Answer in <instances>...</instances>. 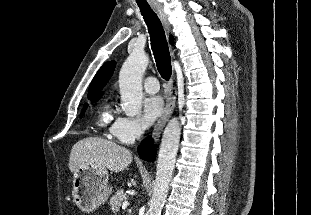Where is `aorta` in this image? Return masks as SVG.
<instances>
[{
	"label": "aorta",
	"mask_w": 311,
	"mask_h": 215,
	"mask_svg": "<svg viewBox=\"0 0 311 215\" xmlns=\"http://www.w3.org/2000/svg\"><path fill=\"white\" fill-rule=\"evenodd\" d=\"M149 58L143 52H132L126 59L119 73V88L122 110L128 117L141 113L142 77L148 66ZM181 135V125L177 118H172L163 132L160 144L153 195L146 215H161L175 166Z\"/></svg>",
	"instance_id": "1"
}]
</instances>
